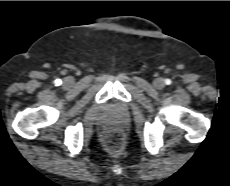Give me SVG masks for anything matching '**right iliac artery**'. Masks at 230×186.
Segmentation results:
<instances>
[{
    "instance_id": "82829eb1",
    "label": "right iliac artery",
    "mask_w": 230,
    "mask_h": 186,
    "mask_svg": "<svg viewBox=\"0 0 230 186\" xmlns=\"http://www.w3.org/2000/svg\"><path fill=\"white\" fill-rule=\"evenodd\" d=\"M55 83H56V85H60L61 84V80L57 79V80H55Z\"/></svg>"
}]
</instances>
